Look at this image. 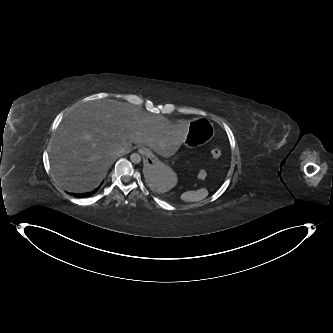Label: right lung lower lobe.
Wrapping results in <instances>:
<instances>
[{
    "label": "right lung lower lobe",
    "instance_id": "1",
    "mask_svg": "<svg viewBox=\"0 0 333 333\" xmlns=\"http://www.w3.org/2000/svg\"><path fill=\"white\" fill-rule=\"evenodd\" d=\"M98 189L99 188L95 189L93 192L88 193V194L87 193H83V194H78V195H75V196L80 197V198L88 197V196L94 194Z\"/></svg>",
    "mask_w": 333,
    "mask_h": 333
}]
</instances>
